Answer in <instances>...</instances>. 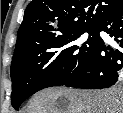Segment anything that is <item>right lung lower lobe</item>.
<instances>
[{
  "label": "right lung lower lobe",
  "mask_w": 123,
  "mask_h": 113,
  "mask_svg": "<svg viewBox=\"0 0 123 113\" xmlns=\"http://www.w3.org/2000/svg\"><path fill=\"white\" fill-rule=\"evenodd\" d=\"M97 27L114 37L117 45L112 48L101 40L80 74L65 86L102 89L117 82L123 68V3L105 15Z\"/></svg>",
  "instance_id": "right-lung-lower-lobe-1"
}]
</instances>
